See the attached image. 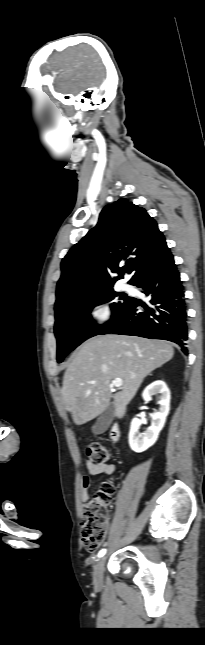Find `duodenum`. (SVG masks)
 <instances>
[{
  "label": "duodenum",
  "instance_id": "duodenum-1",
  "mask_svg": "<svg viewBox=\"0 0 205 645\" xmlns=\"http://www.w3.org/2000/svg\"><path fill=\"white\" fill-rule=\"evenodd\" d=\"M120 436L119 428L118 426L114 425L110 431V437L112 440L116 441L118 440Z\"/></svg>",
  "mask_w": 205,
  "mask_h": 645
}]
</instances>
